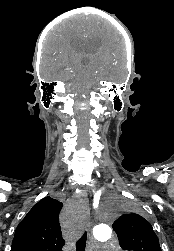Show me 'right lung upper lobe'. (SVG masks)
Returning a JSON list of instances; mask_svg holds the SVG:
<instances>
[{
  "label": "right lung upper lobe",
  "instance_id": "1",
  "mask_svg": "<svg viewBox=\"0 0 174 251\" xmlns=\"http://www.w3.org/2000/svg\"><path fill=\"white\" fill-rule=\"evenodd\" d=\"M62 203L45 197L17 226L11 251H62L65 244L59 224Z\"/></svg>",
  "mask_w": 174,
  "mask_h": 251
}]
</instances>
